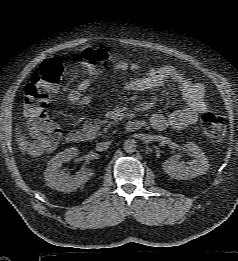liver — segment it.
<instances>
[{
  "label": "liver",
  "mask_w": 238,
  "mask_h": 261,
  "mask_svg": "<svg viewBox=\"0 0 238 261\" xmlns=\"http://www.w3.org/2000/svg\"><path fill=\"white\" fill-rule=\"evenodd\" d=\"M18 133V142H19V145H20V147L22 148V149H24V144H23V137L20 135V131L18 130L17 131Z\"/></svg>",
  "instance_id": "1"
}]
</instances>
